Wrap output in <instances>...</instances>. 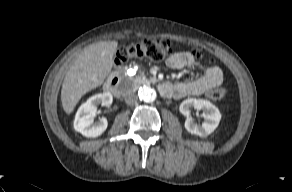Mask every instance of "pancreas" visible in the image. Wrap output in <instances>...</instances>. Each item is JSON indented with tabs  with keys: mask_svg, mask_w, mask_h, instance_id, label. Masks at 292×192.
Returning a JSON list of instances; mask_svg holds the SVG:
<instances>
[{
	"mask_svg": "<svg viewBox=\"0 0 292 192\" xmlns=\"http://www.w3.org/2000/svg\"><path fill=\"white\" fill-rule=\"evenodd\" d=\"M144 79L143 77H136L135 80H141Z\"/></svg>",
	"mask_w": 292,
	"mask_h": 192,
	"instance_id": "obj_1",
	"label": "pancreas"
}]
</instances>
